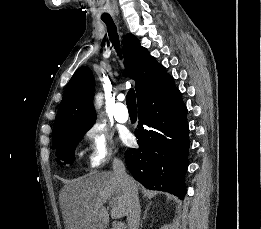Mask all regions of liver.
Listing matches in <instances>:
<instances>
[{"instance_id": "liver-1", "label": "liver", "mask_w": 261, "mask_h": 229, "mask_svg": "<svg viewBox=\"0 0 261 229\" xmlns=\"http://www.w3.org/2000/svg\"><path fill=\"white\" fill-rule=\"evenodd\" d=\"M135 183V181H134ZM137 193L140 185L135 183ZM64 199L67 229H107L109 213L103 207L110 199L112 219L127 217L129 199L115 173H89L70 181Z\"/></svg>"}]
</instances>
